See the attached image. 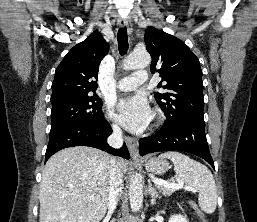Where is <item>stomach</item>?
I'll list each match as a JSON object with an SVG mask.
<instances>
[{
  "mask_svg": "<svg viewBox=\"0 0 257 222\" xmlns=\"http://www.w3.org/2000/svg\"><path fill=\"white\" fill-rule=\"evenodd\" d=\"M145 168L150 173L162 175L168 171L169 164L161 157H153L146 161Z\"/></svg>",
  "mask_w": 257,
  "mask_h": 222,
  "instance_id": "stomach-1",
  "label": "stomach"
}]
</instances>
